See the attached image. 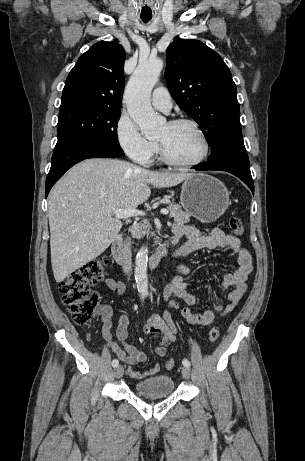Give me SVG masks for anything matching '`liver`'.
Segmentation results:
<instances>
[{
    "label": "liver",
    "mask_w": 305,
    "mask_h": 461,
    "mask_svg": "<svg viewBox=\"0 0 305 461\" xmlns=\"http://www.w3.org/2000/svg\"><path fill=\"white\" fill-rule=\"evenodd\" d=\"M192 176L140 168L129 162L92 158L72 167L48 201L51 264L56 282L103 253L117 237L118 209H136L154 188L176 186Z\"/></svg>",
    "instance_id": "obj_1"
}]
</instances>
